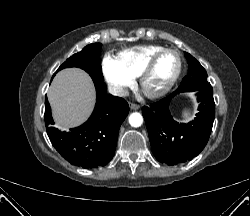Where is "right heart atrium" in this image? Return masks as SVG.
<instances>
[{
	"instance_id": "obj_1",
	"label": "right heart atrium",
	"mask_w": 250,
	"mask_h": 216,
	"mask_svg": "<svg viewBox=\"0 0 250 216\" xmlns=\"http://www.w3.org/2000/svg\"><path fill=\"white\" fill-rule=\"evenodd\" d=\"M102 72L112 92L116 95H124L134 84V77L127 73L112 56L104 57Z\"/></svg>"
}]
</instances>
